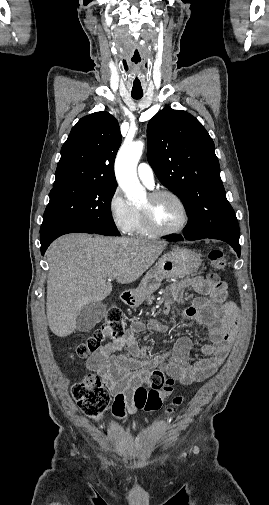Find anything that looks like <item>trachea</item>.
Listing matches in <instances>:
<instances>
[{
  "mask_svg": "<svg viewBox=\"0 0 269 505\" xmlns=\"http://www.w3.org/2000/svg\"><path fill=\"white\" fill-rule=\"evenodd\" d=\"M132 98L138 100L141 99L143 96V92H132L131 93Z\"/></svg>",
  "mask_w": 269,
  "mask_h": 505,
  "instance_id": "3493384b",
  "label": "trachea"
}]
</instances>
